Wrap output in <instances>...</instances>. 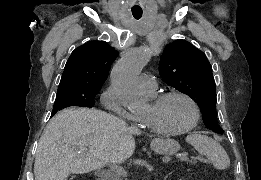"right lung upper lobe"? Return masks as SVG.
<instances>
[{"label":"right lung upper lobe","mask_w":261,"mask_h":180,"mask_svg":"<svg viewBox=\"0 0 261 180\" xmlns=\"http://www.w3.org/2000/svg\"><path fill=\"white\" fill-rule=\"evenodd\" d=\"M118 52L105 41H90L76 48L69 57L59 84L101 88Z\"/></svg>","instance_id":"obj_1"}]
</instances>
